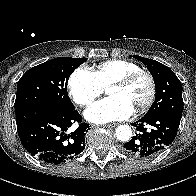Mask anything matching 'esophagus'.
<instances>
[{"label": "esophagus", "instance_id": "esophagus-1", "mask_svg": "<svg viewBox=\"0 0 196 196\" xmlns=\"http://www.w3.org/2000/svg\"><path fill=\"white\" fill-rule=\"evenodd\" d=\"M114 126H115V124H104V125H103V127H106V128H107V127H114Z\"/></svg>", "mask_w": 196, "mask_h": 196}]
</instances>
